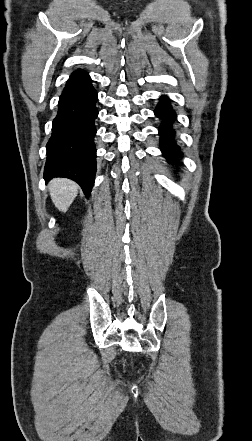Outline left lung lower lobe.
Wrapping results in <instances>:
<instances>
[{
  "instance_id": "left-lung-lower-lobe-1",
  "label": "left lung lower lobe",
  "mask_w": 252,
  "mask_h": 441,
  "mask_svg": "<svg viewBox=\"0 0 252 441\" xmlns=\"http://www.w3.org/2000/svg\"><path fill=\"white\" fill-rule=\"evenodd\" d=\"M155 115L162 120L159 129L160 147L164 156L172 164H179V157H182L180 148L175 141L176 131L173 123L176 119V113L170 105V100L166 96H161L155 109Z\"/></svg>"
}]
</instances>
